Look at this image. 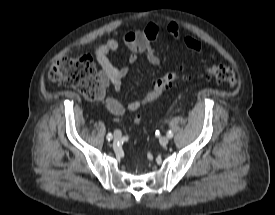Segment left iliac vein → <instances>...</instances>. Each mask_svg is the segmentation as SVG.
<instances>
[{
  "label": "left iliac vein",
  "mask_w": 275,
  "mask_h": 215,
  "mask_svg": "<svg viewBox=\"0 0 275 215\" xmlns=\"http://www.w3.org/2000/svg\"><path fill=\"white\" fill-rule=\"evenodd\" d=\"M159 142H160L161 145L165 146V145L168 144L169 138L166 137V136H163V137H161V138L159 139Z\"/></svg>",
  "instance_id": "4c4485c4"
}]
</instances>
